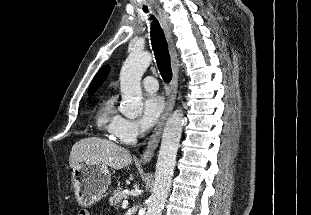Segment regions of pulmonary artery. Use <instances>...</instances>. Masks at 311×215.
Wrapping results in <instances>:
<instances>
[{
    "instance_id": "pulmonary-artery-1",
    "label": "pulmonary artery",
    "mask_w": 311,
    "mask_h": 215,
    "mask_svg": "<svg viewBox=\"0 0 311 215\" xmlns=\"http://www.w3.org/2000/svg\"><path fill=\"white\" fill-rule=\"evenodd\" d=\"M142 85L148 92H156L158 90V82L152 76H147L143 79Z\"/></svg>"
}]
</instances>
